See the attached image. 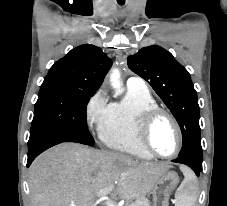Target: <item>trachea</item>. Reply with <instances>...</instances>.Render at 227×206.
Masks as SVG:
<instances>
[{
  "instance_id": "1",
  "label": "trachea",
  "mask_w": 227,
  "mask_h": 206,
  "mask_svg": "<svg viewBox=\"0 0 227 206\" xmlns=\"http://www.w3.org/2000/svg\"><path fill=\"white\" fill-rule=\"evenodd\" d=\"M120 5H123L124 4V2H118Z\"/></svg>"
}]
</instances>
